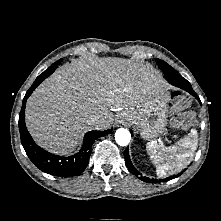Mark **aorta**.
Listing matches in <instances>:
<instances>
[{
    "label": "aorta",
    "instance_id": "aorta-1",
    "mask_svg": "<svg viewBox=\"0 0 221 221\" xmlns=\"http://www.w3.org/2000/svg\"><path fill=\"white\" fill-rule=\"evenodd\" d=\"M131 134L125 128H120L115 132V141L120 146H127L130 142Z\"/></svg>",
    "mask_w": 221,
    "mask_h": 221
}]
</instances>
